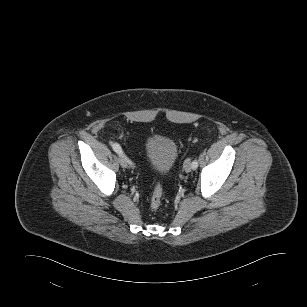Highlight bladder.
Masks as SVG:
<instances>
[{"label": "bladder", "mask_w": 307, "mask_h": 307, "mask_svg": "<svg viewBox=\"0 0 307 307\" xmlns=\"http://www.w3.org/2000/svg\"><path fill=\"white\" fill-rule=\"evenodd\" d=\"M144 150L149 167L162 175L171 171L178 156L175 142L163 135L148 137L144 144Z\"/></svg>", "instance_id": "bladder-1"}]
</instances>
